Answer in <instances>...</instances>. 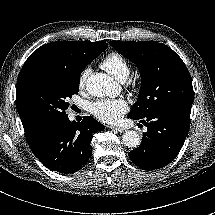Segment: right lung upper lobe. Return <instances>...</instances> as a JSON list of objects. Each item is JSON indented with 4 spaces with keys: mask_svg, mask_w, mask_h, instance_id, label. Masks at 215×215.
I'll list each match as a JSON object with an SVG mask.
<instances>
[{
    "mask_svg": "<svg viewBox=\"0 0 215 215\" xmlns=\"http://www.w3.org/2000/svg\"><path fill=\"white\" fill-rule=\"evenodd\" d=\"M107 47L108 44L102 41L52 42L39 47L28 57L19 73L16 86V105L26 139L30 138L39 126L32 124L22 109L21 97L25 89L34 82L85 68Z\"/></svg>",
    "mask_w": 215,
    "mask_h": 215,
    "instance_id": "right-lung-upper-lobe-1",
    "label": "right lung upper lobe"
}]
</instances>
